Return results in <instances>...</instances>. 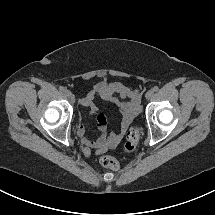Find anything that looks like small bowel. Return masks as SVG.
Segmentation results:
<instances>
[{"label": "small bowel", "instance_id": "1", "mask_svg": "<svg viewBox=\"0 0 215 215\" xmlns=\"http://www.w3.org/2000/svg\"><path fill=\"white\" fill-rule=\"evenodd\" d=\"M97 98L114 103L120 108L122 120L119 131L108 132L106 117L95 104ZM81 104L88 107L90 114L95 116L99 135L96 138L86 136V127L83 123L77 126L76 134L85 145V155H90V149H94L95 154L99 155L119 144L128 126L141 110V95L139 91L130 89L120 81H102L81 100Z\"/></svg>", "mask_w": 215, "mask_h": 215}]
</instances>
